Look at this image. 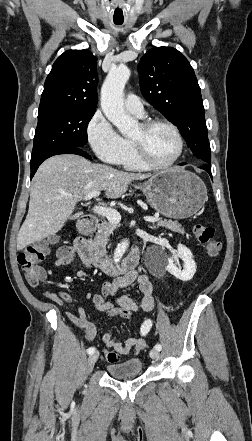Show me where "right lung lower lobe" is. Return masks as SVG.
Wrapping results in <instances>:
<instances>
[{
	"label": "right lung lower lobe",
	"mask_w": 252,
	"mask_h": 441,
	"mask_svg": "<svg viewBox=\"0 0 252 441\" xmlns=\"http://www.w3.org/2000/svg\"><path fill=\"white\" fill-rule=\"evenodd\" d=\"M58 154H77V155L83 156L85 158L91 159L90 155L87 154L86 152H84L79 147H64V148H59V149L51 150L49 152H46L42 156H40L38 159L33 160V161L30 162V165H31V178L34 176V174L37 171L39 165L44 160H46L47 158H49L51 156L58 155Z\"/></svg>",
	"instance_id": "obj_1"
}]
</instances>
